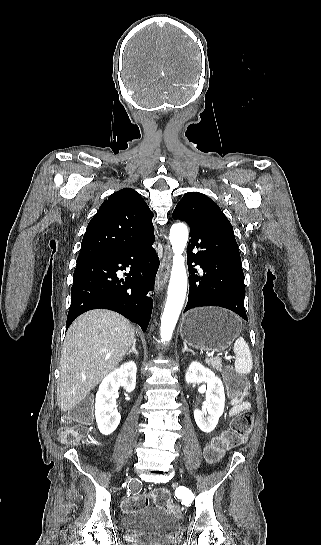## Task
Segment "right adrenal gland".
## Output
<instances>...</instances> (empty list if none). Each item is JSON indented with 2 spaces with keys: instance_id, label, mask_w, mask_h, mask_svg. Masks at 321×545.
Instances as JSON below:
<instances>
[{
  "instance_id": "2a0ac1e0",
  "label": "right adrenal gland",
  "mask_w": 321,
  "mask_h": 545,
  "mask_svg": "<svg viewBox=\"0 0 321 545\" xmlns=\"http://www.w3.org/2000/svg\"><path fill=\"white\" fill-rule=\"evenodd\" d=\"M136 341H137V339H134L132 349H130V351H128L127 355H132V353H134V355H136V357H138V353H137V349H136Z\"/></svg>"
}]
</instances>
